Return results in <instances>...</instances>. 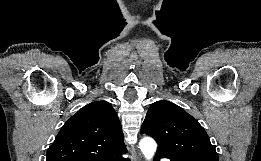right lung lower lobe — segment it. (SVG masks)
<instances>
[{
  "label": "right lung lower lobe",
  "mask_w": 261,
  "mask_h": 161,
  "mask_svg": "<svg viewBox=\"0 0 261 161\" xmlns=\"http://www.w3.org/2000/svg\"><path fill=\"white\" fill-rule=\"evenodd\" d=\"M127 151H122V152H118V153H114L105 157H102L98 160L95 161H129L128 159H124L122 157V154L126 153Z\"/></svg>",
  "instance_id": "98d812e1"
}]
</instances>
